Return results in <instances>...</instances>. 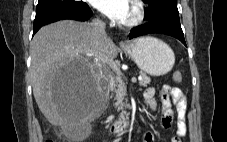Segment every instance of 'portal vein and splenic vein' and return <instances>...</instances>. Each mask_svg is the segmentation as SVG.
I'll return each mask as SVG.
<instances>
[{"instance_id": "portal-vein-and-splenic-vein-1", "label": "portal vein and splenic vein", "mask_w": 227, "mask_h": 142, "mask_svg": "<svg viewBox=\"0 0 227 142\" xmlns=\"http://www.w3.org/2000/svg\"><path fill=\"white\" fill-rule=\"evenodd\" d=\"M120 75H121V73H119V76H120ZM140 79H141V78H140ZM131 82H132V83H135V82H136V78H135V77H132V78H131Z\"/></svg>"}]
</instances>
